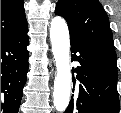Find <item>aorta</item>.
Here are the masks:
<instances>
[{
  "instance_id": "1",
  "label": "aorta",
  "mask_w": 121,
  "mask_h": 113,
  "mask_svg": "<svg viewBox=\"0 0 121 113\" xmlns=\"http://www.w3.org/2000/svg\"><path fill=\"white\" fill-rule=\"evenodd\" d=\"M50 39L57 68L54 82L53 103L57 111L63 112L66 110L70 99L71 71L69 31L67 23L62 17L52 19Z\"/></svg>"
}]
</instances>
